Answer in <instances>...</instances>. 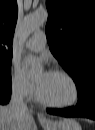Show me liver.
Segmentation results:
<instances>
[{"label": "liver", "instance_id": "obj_1", "mask_svg": "<svg viewBox=\"0 0 95 130\" xmlns=\"http://www.w3.org/2000/svg\"><path fill=\"white\" fill-rule=\"evenodd\" d=\"M0 130H37L30 112L17 115L8 106L0 107Z\"/></svg>", "mask_w": 95, "mask_h": 130}]
</instances>
